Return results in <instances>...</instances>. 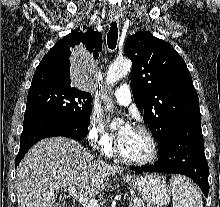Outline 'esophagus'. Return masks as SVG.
<instances>
[{"instance_id":"34e87169","label":"esophagus","mask_w":220,"mask_h":207,"mask_svg":"<svg viewBox=\"0 0 220 207\" xmlns=\"http://www.w3.org/2000/svg\"><path fill=\"white\" fill-rule=\"evenodd\" d=\"M110 19H111L112 21H115V20H118V19H119V16L116 15V14H111V15H110Z\"/></svg>"}]
</instances>
